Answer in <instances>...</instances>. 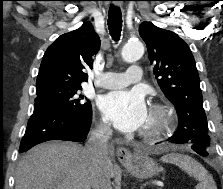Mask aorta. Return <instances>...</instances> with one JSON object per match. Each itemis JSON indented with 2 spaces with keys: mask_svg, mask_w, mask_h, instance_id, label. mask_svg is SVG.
I'll list each match as a JSON object with an SVG mask.
<instances>
[{
  "mask_svg": "<svg viewBox=\"0 0 223 189\" xmlns=\"http://www.w3.org/2000/svg\"><path fill=\"white\" fill-rule=\"evenodd\" d=\"M144 54V46L140 41L128 42L124 45L121 55L126 62H135Z\"/></svg>",
  "mask_w": 223,
  "mask_h": 189,
  "instance_id": "762f6f07",
  "label": "aorta"
}]
</instances>
